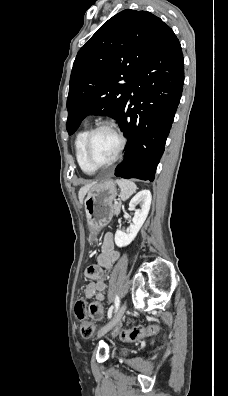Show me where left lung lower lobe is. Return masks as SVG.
Instances as JSON below:
<instances>
[{"mask_svg": "<svg viewBox=\"0 0 228 396\" xmlns=\"http://www.w3.org/2000/svg\"><path fill=\"white\" fill-rule=\"evenodd\" d=\"M184 83L181 45L170 27L159 31L131 83L119 127L128 139L115 169L121 178L154 180Z\"/></svg>", "mask_w": 228, "mask_h": 396, "instance_id": "obj_1", "label": "left lung lower lobe"}]
</instances>
